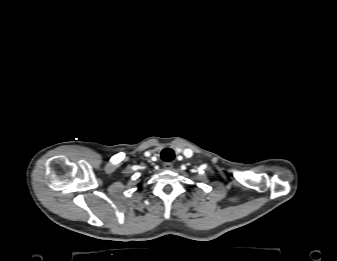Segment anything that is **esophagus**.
Returning <instances> with one entry per match:
<instances>
[{"label": "esophagus", "instance_id": "esophagus-1", "mask_svg": "<svg viewBox=\"0 0 337 261\" xmlns=\"http://www.w3.org/2000/svg\"><path fill=\"white\" fill-rule=\"evenodd\" d=\"M163 167L165 170H171L173 168V164L171 162H166Z\"/></svg>", "mask_w": 337, "mask_h": 261}]
</instances>
